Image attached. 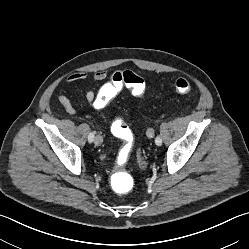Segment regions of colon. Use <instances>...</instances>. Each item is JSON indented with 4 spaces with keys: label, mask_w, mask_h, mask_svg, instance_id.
I'll return each mask as SVG.
<instances>
[{
    "label": "colon",
    "mask_w": 249,
    "mask_h": 249,
    "mask_svg": "<svg viewBox=\"0 0 249 249\" xmlns=\"http://www.w3.org/2000/svg\"><path fill=\"white\" fill-rule=\"evenodd\" d=\"M110 83L114 91L118 92L120 89L128 88L133 96H141L146 90L145 80L132 71H117L110 77ZM169 87L178 94H187L193 90V85L190 81L184 78H179L169 83ZM110 95L106 99V104L112 100ZM114 136L121 138L125 142V147L121 150L120 155L127 158L133 142V133L130 127L123 121H117L112 127ZM129 176L122 172H117L112 180V188L117 194H125L129 191L128 187Z\"/></svg>",
    "instance_id": "5ec220e1"
}]
</instances>
